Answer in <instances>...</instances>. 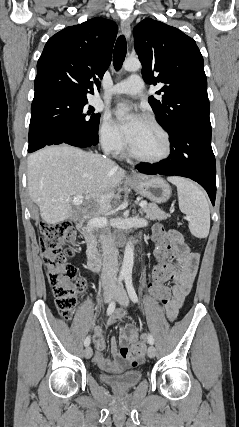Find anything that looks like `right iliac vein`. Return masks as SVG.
Wrapping results in <instances>:
<instances>
[{
  "label": "right iliac vein",
  "mask_w": 239,
  "mask_h": 427,
  "mask_svg": "<svg viewBox=\"0 0 239 427\" xmlns=\"http://www.w3.org/2000/svg\"><path fill=\"white\" fill-rule=\"evenodd\" d=\"M113 295H114V292L112 290L106 291L104 293V301H105V303H109L111 301ZM92 354H93L92 348L89 347V346H87L85 348V350H84V356H85V358H87V359L91 358Z\"/></svg>",
  "instance_id": "63e3f726"
}]
</instances>
